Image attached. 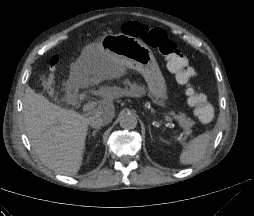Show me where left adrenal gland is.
Wrapping results in <instances>:
<instances>
[{"label":"left adrenal gland","instance_id":"a2214340","mask_svg":"<svg viewBox=\"0 0 254 216\" xmlns=\"http://www.w3.org/2000/svg\"><path fill=\"white\" fill-rule=\"evenodd\" d=\"M148 130H149L150 137L152 138L150 126L148 127Z\"/></svg>","mask_w":254,"mask_h":216}]
</instances>
